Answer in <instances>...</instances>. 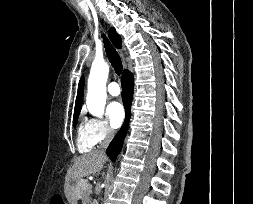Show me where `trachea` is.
Listing matches in <instances>:
<instances>
[{
    "mask_svg": "<svg viewBox=\"0 0 253 204\" xmlns=\"http://www.w3.org/2000/svg\"><path fill=\"white\" fill-rule=\"evenodd\" d=\"M102 38L109 61L114 68L116 74L120 75L123 69L121 58L104 34L102 35Z\"/></svg>",
    "mask_w": 253,
    "mask_h": 204,
    "instance_id": "1",
    "label": "trachea"
}]
</instances>
